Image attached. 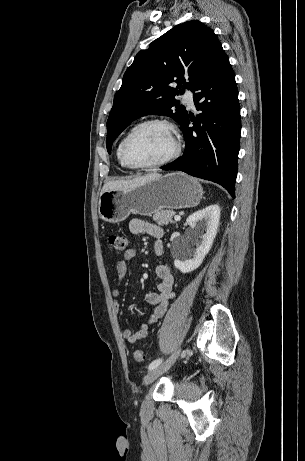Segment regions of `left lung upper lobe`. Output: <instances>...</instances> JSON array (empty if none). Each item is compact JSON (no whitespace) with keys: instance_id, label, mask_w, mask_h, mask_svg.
<instances>
[{"instance_id":"1","label":"left lung upper lobe","mask_w":305,"mask_h":461,"mask_svg":"<svg viewBox=\"0 0 305 461\" xmlns=\"http://www.w3.org/2000/svg\"><path fill=\"white\" fill-rule=\"evenodd\" d=\"M222 46L197 20L177 25L140 51L123 76L107 121L106 146L139 117L167 115L182 123L188 112L175 96L192 90L215 63ZM187 81V82H186ZM176 82L177 88L170 87Z\"/></svg>"}]
</instances>
